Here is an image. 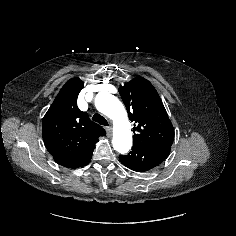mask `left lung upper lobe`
Wrapping results in <instances>:
<instances>
[{"label": "left lung upper lobe", "instance_id": "1", "mask_svg": "<svg viewBox=\"0 0 236 236\" xmlns=\"http://www.w3.org/2000/svg\"><path fill=\"white\" fill-rule=\"evenodd\" d=\"M119 93L134 123L133 146L171 147L174 128L154 86L140 77L120 87Z\"/></svg>", "mask_w": 236, "mask_h": 236}]
</instances>
